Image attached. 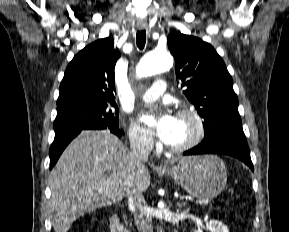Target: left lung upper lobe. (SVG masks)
Masks as SVG:
<instances>
[{"label":"left lung upper lobe","instance_id":"obj_1","mask_svg":"<svg viewBox=\"0 0 289 232\" xmlns=\"http://www.w3.org/2000/svg\"><path fill=\"white\" fill-rule=\"evenodd\" d=\"M168 48L175 58L176 78L183 93L204 119L202 143L228 136H245L238 99L224 61L200 38L171 32Z\"/></svg>","mask_w":289,"mask_h":232}]
</instances>
